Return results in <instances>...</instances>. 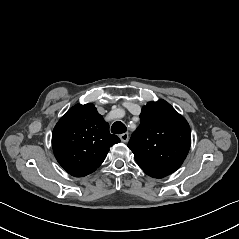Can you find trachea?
Masks as SVG:
<instances>
[{"label": "trachea", "instance_id": "1", "mask_svg": "<svg viewBox=\"0 0 239 239\" xmlns=\"http://www.w3.org/2000/svg\"><path fill=\"white\" fill-rule=\"evenodd\" d=\"M126 130H127L126 126L120 121L113 123L111 127V132L114 134H122L125 133Z\"/></svg>", "mask_w": 239, "mask_h": 239}]
</instances>
